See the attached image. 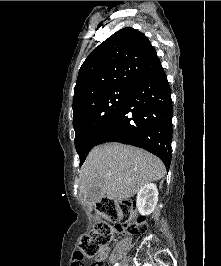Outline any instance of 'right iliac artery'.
Wrapping results in <instances>:
<instances>
[{
    "label": "right iliac artery",
    "mask_w": 221,
    "mask_h": 266,
    "mask_svg": "<svg viewBox=\"0 0 221 266\" xmlns=\"http://www.w3.org/2000/svg\"><path fill=\"white\" fill-rule=\"evenodd\" d=\"M114 266H119V264H118V263H116Z\"/></svg>",
    "instance_id": "right-iliac-artery-1"
}]
</instances>
